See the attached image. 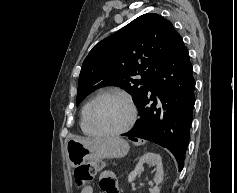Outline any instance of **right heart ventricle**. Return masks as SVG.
Wrapping results in <instances>:
<instances>
[{
  "mask_svg": "<svg viewBox=\"0 0 237 193\" xmlns=\"http://www.w3.org/2000/svg\"><path fill=\"white\" fill-rule=\"evenodd\" d=\"M89 102H87L81 111V117H80V128L82 132L88 136H97L98 134L90 127L88 121H87V109L89 106Z\"/></svg>",
  "mask_w": 237,
  "mask_h": 193,
  "instance_id": "obj_1",
  "label": "right heart ventricle"
}]
</instances>
